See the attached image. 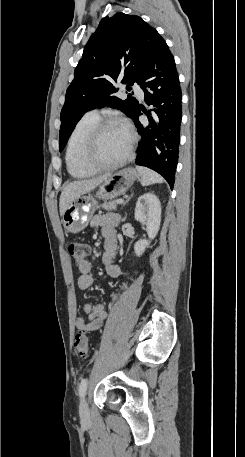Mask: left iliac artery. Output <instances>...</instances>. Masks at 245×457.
<instances>
[{
    "label": "left iliac artery",
    "mask_w": 245,
    "mask_h": 457,
    "mask_svg": "<svg viewBox=\"0 0 245 457\" xmlns=\"http://www.w3.org/2000/svg\"><path fill=\"white\" fill-rule=\"evenodd\" d=\"M87 385H88V379L84 378L79 386V396L80 398L84 397L86 390H87Z\"/></svg>",
    "instance_id": "44dca946"
}]
</instances>
